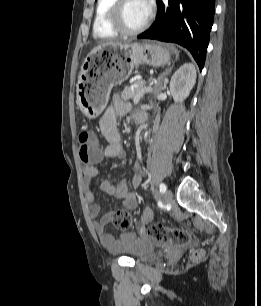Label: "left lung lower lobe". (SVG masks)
I'll return each mask as SVG.
<instances>
[{
  "label": "left lung lower lobe",
  "mask_w": 261,
  "mask_h": 306,
  "mask_svg": "<svg viewBox=\"0 0 261 306\" xmlns=\"http://www.w3.org/2000/svg\"><path fill=\"white\" fill-rule=\"evenodd\" d=\"M156 1V20L138 38L178 43L191 52L202 69L213 25L215 0Z\"/></svg>",
  "instance_id": "obj_1"
}]
</instances>
